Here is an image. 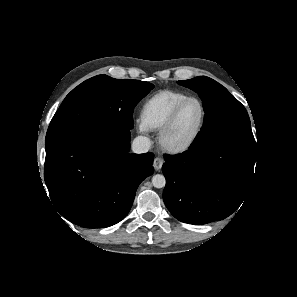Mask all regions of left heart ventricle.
I'll return each instance as SVG.
<instances>
[{
	"instance_id": "1",
	"label": "left heart ventricle",
	"mask_w": 297,
	"mask_h": 297,
	"mask_svg": "<svg viewBox=\"0 0 297 297\" xmlns=\"http://www.w3.org/2000/svg\"><path fill=\"white\" fill-rule=\"evenodd\" d=\"M202 116L201 107L197 102L188 103L180 112L175 125L170 131L167 142L170 145L185 143L197 129Z\"/></svg>"
}]
</instances>
